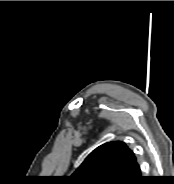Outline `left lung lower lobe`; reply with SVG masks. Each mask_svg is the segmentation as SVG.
Listing matches in <instances>:
<instances>
[{
	"mask_svg": "<svg viewBox=\"0 0 174 184\" xmlns=\"http://www.w3.org/2000/svg\"><path fill=\"white\" fill-rule=\"evenodd\" d=\"M142 178L143 177L141 176L139 165L137 164L135 172H134V176L132 180L129 182V184H138L140 181H142Z\"/></svg>",
	"mask_w": 174,
	"mask_h": 184,
	"instance_id": "1",
	"label": "left lung lower lobe"
}]
</instances>
